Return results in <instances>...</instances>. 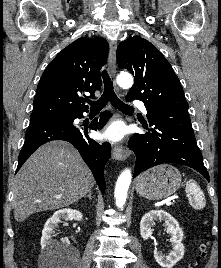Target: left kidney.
Instances as JSON below:
<instances>
[{
  "instance_id": "obj_1",
  "label": "left kidney",
  "mask_w": 221,
  "mask_h": 268,
  "mask_svg": "<svg viewBox=\"0 0 221 268\" xmlns=\"http://www.w3.org/2000/svg\"><path fill=\"white\" fill-rule=\"evenodd\" d=\"M157 220L164 221L167 225V233L171 236L170 242L173 250L165 256L155 248L154 258L161 267L172 268L184 255L183 232L176 219L169 213L164 210H152L146 213L140 222V232L143 239L147 240L152 235V227Z\"/></svg>"
}]
</instances>
